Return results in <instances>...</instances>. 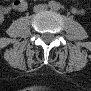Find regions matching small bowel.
<instances>
[{
  "instance_id": "small-bowel-1",
  "label": "small bowel",
  "mask_w": 91,
  "mask_h": 91,
  "mask_svg": "<svg viewBox=\"0 0 91 91\" xmlns=\"http://www.w3.org/2000/svg\"><path fill=\"white\" fill-rule=\"evenodd\" d=\"M27 8V2L25 0H15L13 1L12 5L10 8L7 9L9 11L10 9H14L17 11H24ZM74 12L78 13L80 12L79 9H74Z\"/></svg>"
}]
</instances>
